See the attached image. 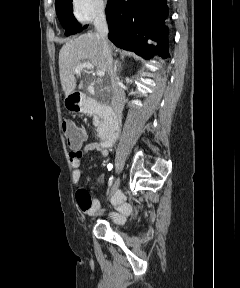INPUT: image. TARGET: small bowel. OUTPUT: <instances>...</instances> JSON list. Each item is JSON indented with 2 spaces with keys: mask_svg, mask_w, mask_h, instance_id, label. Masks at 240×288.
I'll return each instance as SVG.
<instances>
[{
  "mask_svg": "<svg viewBox=\"0 0 240 288\" xmlns=\"http://www.w3.org/2000/svg\"><path fill=\"white\" fill-rule=\"evenodd\" d=\"M70 148L69 163L72 169V180L76 184L82 179L81 160L84 155H88L93 151H96L101 156L108 155V148L97 142L88 143L83 147L82 145H78L71 146ZM76 200L81 211L87 215H94L100 207V201L98 199H92L84 188L77 190ZM113 204L118 213L112 214V218L117 222L123 221L125 215L130 211V208L123 203V197L120 193L115 195Z\"/></svg>",
  "mask_w": 240,
  "mask_h": 288,
  "instance_id": "1",
  "label": "small bowel"
}]
</instances>
